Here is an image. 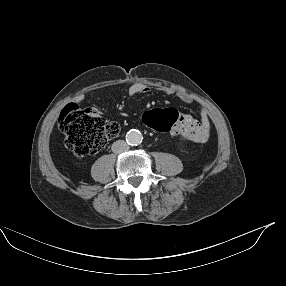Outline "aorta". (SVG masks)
I'll list each match as a JSON object with an SVG mask.
<instances>
[{
    "mask_svg": "<svg viewBox=\"0 0 286 286\" xmlns=\"http://www.w3.org/2000/svg\"><path fill=\"white\" fill-rule=\"evenodd\" d=\"M142 133L137 129H131L126 135V141L129 145H138L142 142Z\"/></svg>",
    "mask_w": 286,
    "mask_h": 286,
    "instance_id": "aorta-1",
    "label": "aorta"
}]
</instances>
